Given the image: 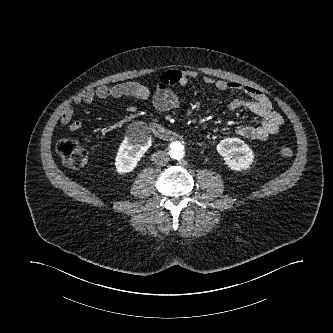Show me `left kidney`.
Listing matches in <instances>:
<instances>
[{
    "instance_id": "obj_1",
    "label": "left kidney",
    "mask_w": 333,
    "mask_h": 333,
    "mask_svg": "<svg viewBox=\"0 0 333 333\" xmlns=\"http://www.w3.org/2000/svg\"><path fill=\"white\" fill-rule=\"evenodd\" d=\"M216 149L232 170L241 171L248 169L254 159L251 148L239 138L223 139L219 142Z\"/></svg>"
}]
</instances>
